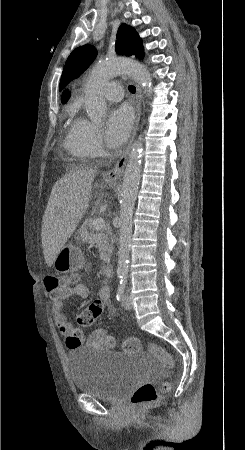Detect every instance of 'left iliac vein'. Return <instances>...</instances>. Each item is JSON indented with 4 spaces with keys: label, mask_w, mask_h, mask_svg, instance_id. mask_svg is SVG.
<instances>
[{
    "label": "left iliac vein",
    "mask_w": 245,
    "mask_h": 450,
    "mask_svg": "<svg viewBox=\"0 0 245 450\" xmlns=\"http://www.w3.org/2000/svg\"><path fill=\"white\" fill-rule=\"evenodd\" d=\"M122 306L126 310H132L133 309V304H132V301H131V297H130V294L128 292L123 295Z\"/></svg>",
    "instance_id": "4c4485c4"
}]
</instances>
